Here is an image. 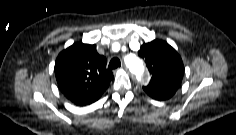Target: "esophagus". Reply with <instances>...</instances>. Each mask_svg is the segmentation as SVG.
<instances>
[{
    "label": "esophagus",
    "mask_w": 236,
    "mask_h": 135,
    "mask_svg": "<svg viewBox=\"0 0 236 135\" xmlns=\"http://www.w3.org/2000/svg\"><path fill=\"white\" fill-rule=\"evenodd\" d=\"M121 69H123V70H125V71L128 70L127 67H126L125 65H122V66H121Z\"/></svg>",
    "instance_id": "esophagus-1"
}]
</instances>
